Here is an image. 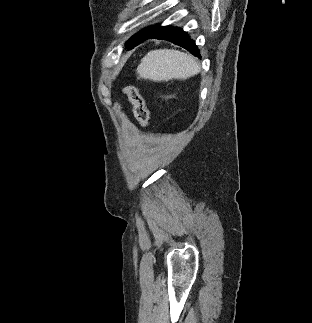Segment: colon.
<instances>
[{"label":"colon","mask_w":312,"mask_h":323,"mask_svg":"<svg viewBox=\"0 0 312 323\" xmlns=\"http://www.w3.org/2000/svg\"><path fill=\"white\" fill-rule=\"evenodd\" d=\"M124 94L133 106V111L137 122L147 128L150 125L149 111L146 106V101L139 89L134 85H126Z\"/></svg>","instance_id":"colon-1"}]
</instances>
